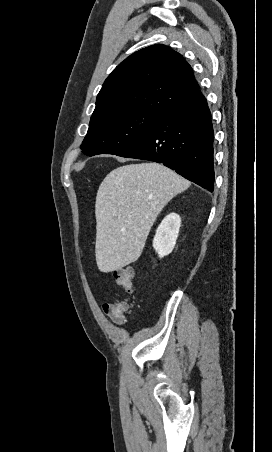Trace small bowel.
Masks as SVG:
<instances>
[{
    "instance_id": "obj_1",
    "label": "small bowel",
    "mask_w": 272,
    "mask_h": 452,
    "mask_svg": "<svg viewBox=\"0 0 272 452\" xmlns=\"http://www.w3.org/2000/svg\"><path fill=\"white\" fill-rule=\"evenodd\" d=\"M106 305L107 303H105L103 305V311L111 317V319L116 323V324H122L125 321V315H117L115 313H110L108 312V310L106 309Z\"/></svg>"
}]
</instances>
